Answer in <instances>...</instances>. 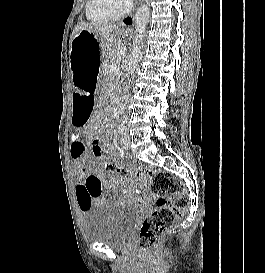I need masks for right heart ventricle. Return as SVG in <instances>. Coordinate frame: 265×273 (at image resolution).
Returning <instances> with one entry per match:
<instances>
[{
  "mask_svg": "<svg viewBox=\"0 0 265 273\" xmlns=\"http://www.w3.org/2000/svg\"><path fill=\"white\" fill-rule=\"evenodd\" d=\"M120 10L111 0H88L86 13L93 22H106L118 19Z\"/></svg>",
  "mask_w": 265,
  "mask_h": 273,
  "instance_id": "obj_1",
  "label": "right heart ventricle"
}]
</instances>
